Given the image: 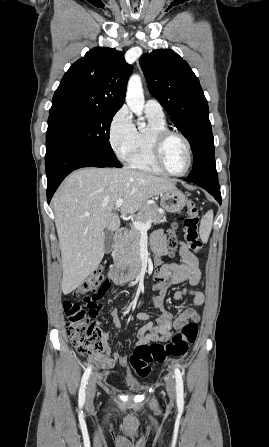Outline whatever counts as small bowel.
<instances>
[{
  "instance_id": "1",
  "label": "small bowel",
  "mask_w": 269,
  "mask_h": 447,
  "mask_svg": "<svg viewBox=\"0 0 269 447\" xmlns=\"http://www.w3.org/2000/svg\"><path fill=\"white\" fill-rule=\"evenodd\" d=\"M152 249L156 255H163L167 251L166 236L161 229L156 230L151 238ZM179 263L162 264L155 275L157 281L155 285L158 295L152 299L153 305L160 310V314L155 322L150 320V315L146 312H139L136 318L147 321V324L138 331V343L146 344L156 340L166 341L170 337L172 325L179 329L185 326V321L192 320L197 322L199 316L192 308L184 309L176 318L164 309V298L171 285H179L187 282L190 286H196L201 279V271L196 256L189 250L183 242L180 243ZM187 297L192 298L196 306L204 302V294L192 288H182L174 292L173 299L181 301ZM111 317L117 326H120V314L117 309L111 311ZM109 332L104 334L103 353L93 354L91 359L94 364L102 369H111L115 364L121 367L127 365V358L122 356L116 350H112L108 345Z\"/></svg>"
}]
</instances>
